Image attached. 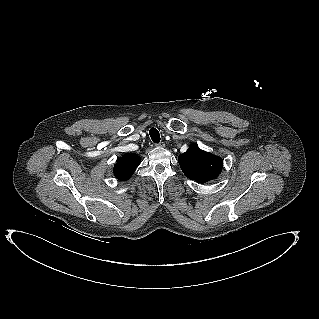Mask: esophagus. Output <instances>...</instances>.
Returning <instances> with one entry per match:
<instances>
[{"mask_svg":"<svg viewBox=\"0 0 319 319\" xmlns=\"http://www.w3.org/2000/svg\"><path fill=\"white\" fill-rule=\"evenodd\" d=\"M156 147H165V143L164 142H160V143H155Z\"/></svg>","mask_w":319,"mask_h":319,"instance_id":"1","label":"esophagus"}]
</instances>
